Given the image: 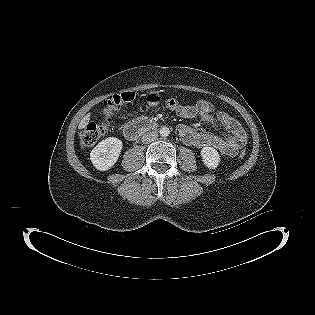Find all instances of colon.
Listing matches in <instances>:
<instances>
[{"label":"colon","mask_w":315,"mask_h":315,"mask_svg":"<svg viewBox=\"0 0 315 315\" xmlns=\"http://www.w3.org/2000/svg\"><path fill=\"white\" fill-rule=\"evenodd\" d=\"M136 98V94L131 91L121 92L113 95L103 108L102 119L95 123H89L80 133V143L83 147H91L106 133L113 113L123 104L132 102ZM165 105L169 109H176L182 103L175 98H169L165 101ZM236 155L239 159L247 157L248 152L244 148L237 150Z\"/></svg>","instance_id":"obj_1"}]
</instances>
